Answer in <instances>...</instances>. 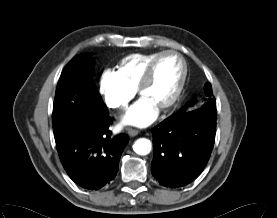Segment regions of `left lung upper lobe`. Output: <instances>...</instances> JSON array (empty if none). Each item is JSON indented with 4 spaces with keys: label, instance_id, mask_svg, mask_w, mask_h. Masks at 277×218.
I'll list each match as a JSON object with an SVG mask.
<instances>
[{
    "label": "left lung upper lobe",
    "instance_id": "5c2ea615",
    "mask_svg": "<svg viewBox=\"0 0 277 218\" xmlns=\"http://www.w3.org/2000/svg\"><path fill=\"white\" fill-rule=\"evenodd\" d=\"M205 96L202 98L201 102H193L185 109L180 110V112H187L198 108L212 107L216 108V101L213 96L212 88L210 83H206L204 86Z\"/></svg>",
    "mask_w": 277,
    "mask_h": 218
}]
</instances>
